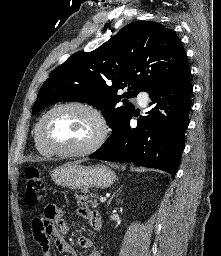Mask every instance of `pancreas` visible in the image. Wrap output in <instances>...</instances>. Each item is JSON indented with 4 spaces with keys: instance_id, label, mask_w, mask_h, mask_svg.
<instances>
[{
    "instance_id": "1",
    "label": "pancreas",
    "mask_w": 221,
    "mask_h": 256,
    "mask_svg": "<svg viewBox=\"0 0 221 256\" xmlns=\"http://www.w3.org/2000/svg\"><path fill=\"white\" fill-rule=\"evenodd\" d=\"M75 197L77 200V204L79 205H85V206L90 205L93 208H96L98 206V202L96 200V194L88 196V195H78L77 193H75Z\"/></svg>"
}]
</instances>
